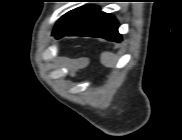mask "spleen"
Masks as SVG:
<instances>
[{
    "instance_id": "obj_1",
    "label": "spleen",
    "mask_w": 182,
    "mask_h": 140,
    "mask_svg": "<svg viewBox=\"0 0 182 140\" xmlns=\"http://www.w3.org/2000/svg\"><path fill=\"white\" fill-rule=\"evenodd\" d=\"M101 62L106 67H113L115 63L114 54L109 52H104L101 54Z\"/></svg>"
}]
</instances>
